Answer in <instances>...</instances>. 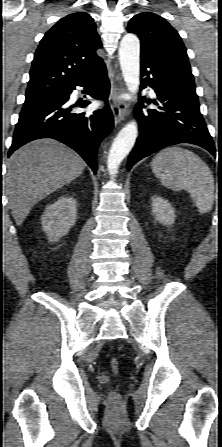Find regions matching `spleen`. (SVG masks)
I'll return each instance as SVG.
<instances>
[{"label":"spleen","instance_id":"spleen-1","mask_svg":"<svg viewBox=\"0 0 222 447\" xmlns=\"http://www.w3.org/2000/svg\"><path fill=\"white\" fill-rule=\"evenodd\" d=\"M151 167L163 186L175 191L186 190L201 213L212 209L214 178L198 155L180 147H169L153 158Z\"/></svg>","mask_w":222,"mask_h":447}]
</instances>
